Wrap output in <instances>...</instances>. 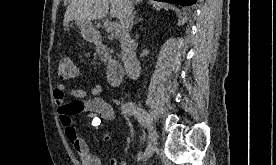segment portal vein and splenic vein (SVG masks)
<instances>
[{
	"mask_svg": "<svg viewBox=\"0 0 276 165\" xmlns=\"http://www.w3.org/2000/svg\"><path fill=\"white\" fill-rule=\"evenodd\" d=\"M105 30L106 32L110 33L112 31H114V29L117 27L116 23L113 22H107L104 24Z\"/></svg>",
	"mask_w": 276,
	"mask_h": 165,
	"instance_id": "1",
	"label": "portal vein and splenic vein"
}]
</instances>
